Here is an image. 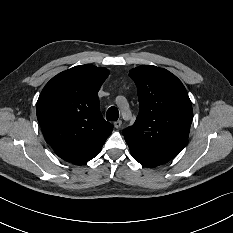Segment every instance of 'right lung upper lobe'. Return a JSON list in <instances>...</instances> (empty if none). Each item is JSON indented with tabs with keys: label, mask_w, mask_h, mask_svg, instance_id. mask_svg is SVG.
Returning <instances> with one entry per match:
<instances>
[{
	"label": "right lung upper lobe",
	"mask_w": 233,
	"mask_h": 233,
	"mask_svg": "<svg viewBox=\"0 0 233 233\" xmlns=\"http://www.w3.org/2000/svg\"><path fill=\"white\" fill-rule=\"evenodd\" d=\"M105 68L75 66L52 78L37 101V118L46 142L65 161L84 164L99 154L113 125L99 108Z\"/></svg>",
	"instance_id": "obj_1"
}]
</instances>
